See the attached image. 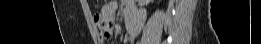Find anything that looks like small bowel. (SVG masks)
<instances>
[{
	"label": "small bowel",
	"mask_w": 261,
	"mask_h": 44,
	"mask_svg": "<svg viewBox=\"0 0 261 44\" xmlns=\"http://www.w3.org/2000/svg\"><path fill=\"white\" fill-rule=\"evenodd\" d=\"M118 6L119 3L117 1L109 2L103 7V19L96 20V29L102 38L109 37L112 34L111 24L116 21V11ZM123 7L125 19L129 18L132 20L131 28L129 31L127 30L123 43L130 44L137 36L139 29L143 24L144 12L129 1L123 2Z\"/></svg>",
	"instance_id": "c3829d8e"
}]
</instances>
